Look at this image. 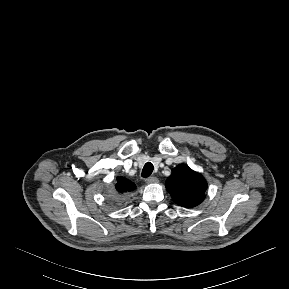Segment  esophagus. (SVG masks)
Segmentation results:
<instances>
[{
    "instance_id": "esophagus-1",
    "label": "esophagus",
    "mask_w": 289,
    "mask_h": 289,
    "mask_svg": "<svg viewBox=\"0 0 289 289\" xmlns=\"http://www.w3.org/2000/svg\"><path fill=\"white\" fill-rule=\"evenodd\" d=\"M158 181V179L154 176L148 177L145 182L146 183H156Z\"/></svg>"
}]
</instances>
